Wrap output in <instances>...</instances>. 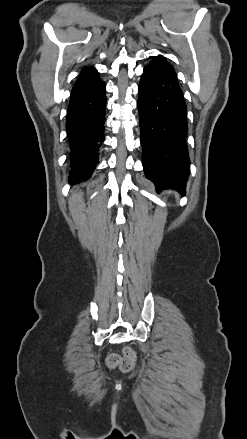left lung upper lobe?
Returning a JSON list of instances; mask_svg holds the SVG:
<instances>
[{
	"label": "left lung upper lobe",
	"mask_w": 247,
	"mask_h": 439,
	"mask_svg": "<svg viewBox=\"0 0 247 439\" xmlns=\"http://www.w3.org/2000/svg\"><path fill=\"white\" fill-rule=\"evenodd\" d=\"M155 58L158 59V60H160V61H162V62H163L167 67H169L170 69L174 70V68H173L168 62H166L162 56H157V57H155Z\"/></svg>",
	"instance_id": "5c2ea615"
}]
</instances>
